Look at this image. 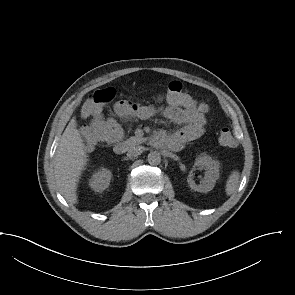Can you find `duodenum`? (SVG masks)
Instances as JSON below:
<instances>
[{
    "mask_svg": "<svg viewBox=\"0 0 295 295\" xmlns=\"http://www.w3.org/2000/svg\"><path fill=\"white\" fill-rule=\"evenodd\" d=\"M158 138V143L161 142V138L160 136H157ZM153 139H155V137H153ZM127 151V145L124 142H117L114 145V152L118 155L124 154Z\"/></svg>",
    "mask_w": 295,
    "mask_h": 295,
    "instance_id": "1",
    "label": "duodenum"
}]
</instances>
